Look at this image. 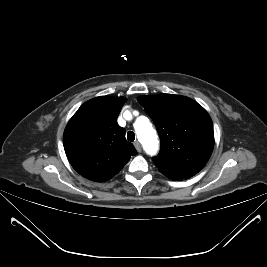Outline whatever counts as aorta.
I'll return each mask as SVG.
<instances>
[{
  "instance_id": "obj_1",
  "label": "aorta",
  "mask_w": 267,
  "mask_h": 267,
  "mask_svg": "<svg viewBox=\"0 0 267 267\" xmlns=\"http://www.w3.org/2000/svg\"><path fill=\"white\" fill-rule=\"evenodd\" d=\"M134 128L144 150L150 155L156 154L158 150V139L156 131L152 127L149 119L145 116L138 117L134 123Z\"/></svg>"
}]
</instances>
